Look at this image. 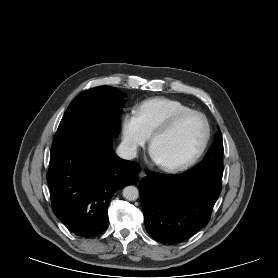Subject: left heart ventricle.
<instances>
[{
  "instance_id": "b2bd125f",
  "label": "left heart ventricle",
  "mask_w": 278,
  "mask_h": 278,
  "mask_svg": "<svg viewBox=\"0 0 278 278\" xmlns=\"http://www.w3.org/2000/svg\"><path fill=\"white\" fill-rule=\"evenodd\" d=\"M205 134L201 117L183 118L169 133L157 138L152 146L159 163L176 164L190 158L200 147Z\"/></svg>"
}]
</instances>
